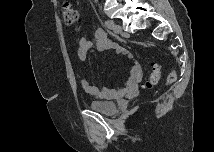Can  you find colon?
Returning a JSON list of instances; mask_svg holds the SVG:
<instances>
[{"mask_svg": "<svg viewBox=\"0 0 215 152\" xmlns=\"http://www.w3.org/2000/svg\"><path fill=\"white\" fill-rule=\"evenodd\" d=\"M62 15H63V20L65 24L68 26L74 25L78 20L77 10L71 4L63 5ZM160 76H161V69L159 65L154 64L151 68L149 78L145 83V87L147 89L152 88L159 81ZM175 80H176V73L174 70H172L166 78V84L171 85Z\"/></svg>", "mask_w": 215, "mask_h": 152, "instance_id": "5ec220e1", "label": "colon"}]
</instances>
